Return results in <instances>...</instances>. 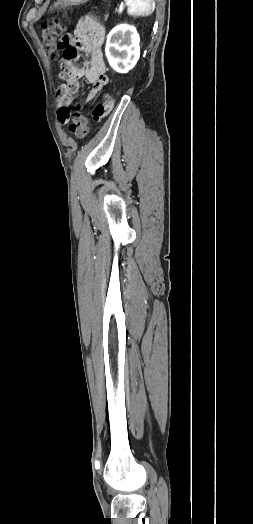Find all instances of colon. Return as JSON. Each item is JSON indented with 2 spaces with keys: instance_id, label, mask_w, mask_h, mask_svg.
I'll use <instances>...</instances> for the list:
<instances>
[{
  "instance_id": "obj_1",
  "label": "colon",
  "mask_w": 253,
  "mask_h": 524,
  "mask_svg": "<svg viewBox=\"0 0 253 524\" xmlns=\"http://www.w3.org/2000/svg\"><path fill=\"white\" fill-rule=\"evenodd\" d=\"M64 31V26L56 19L48 20L41 26V41L53 59L59 58L60 52L57 50V45L59 44L57 38ZM83 106V103H79L75 109L63 106L58 112L59 121L62 124L70 123V131L77 138H84L88 133V118L81 113Z\"/></svg>"
}]
</instances>
